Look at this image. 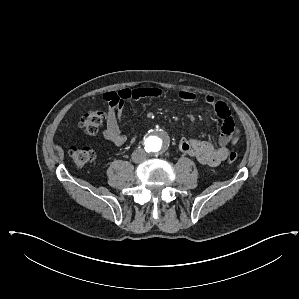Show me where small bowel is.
Instances as JSON below:
<instances>
[{"mask_svg": "<svg viewBox=\"0 0 299 299\" xmlns=\"http://www.w3.org/2000/svg\"><path fill=\"white\" fill-rule=\"evenodd\" d=\"M162 95L160 88L155 86L139 87L134 89H121L116 92L106 93L103 101L110 106L109 112L105 116V126L103 137L115 145H123L127 137L122 132L121 121L124 117V108L127 101L139 100L143 98H159ZM179 98L186 102H192L196 95L190 91L179 92ZM203 101L211 106L218 118L221 120V134L218 139V146H214L210 141L181 138L179 149L198 162L207 166H217L223 162L228 155V145H235L241 139V132L235 126L234 119L228 105L221 99L205 95Z\"/></svg>", "mask_w": 299, "mask_h": 299, "instance_id": "1", "label": "small bowel"}]
</instances>
